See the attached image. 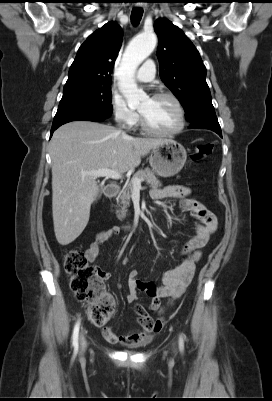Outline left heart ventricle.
<instances>
[{"mask_svg": "<svg viewBox=\"0 0 272 401\" xmlns=\"http://www.w3.org/2000/svg\"><path fill=\"white\" fill-rule=\"evenodd\" d=\"M149 126L154 129L169 131L178 125L179 114L175 104L167 98L144 100L138 109Z\"/></svg>", "mask_w": 272, "mask_h": 401, "instance_id": "b2bd125f", "label": "left heart ventricle"}]
</instances>
